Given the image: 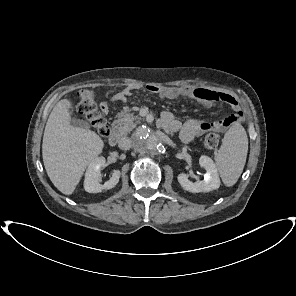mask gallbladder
Masks as SVG:
<instances>
[{"label":"gallbladder","mask_w":296,"mask_h":296,"mask_svg":"<svg viewBox=\"0 0 296 296\" xmlns=\"http://www.w3.org/2000/svg\"><path fill=\"white\" fill-rule=\"evenodd\" d=\"M70 123L77 127L88 128V123L84 120L77 119L75 117H71Z\"/></svg>","instance_id":"gallbladder-1"}]
</instances>
